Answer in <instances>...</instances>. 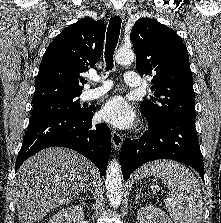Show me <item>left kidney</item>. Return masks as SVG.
I'll return each mask as SVG.
<instances>
[{"instance_id": "5707ae66", "label": "left kidney", "mask_w": 221, "mask_h": 223, "mask_svg": "<svg viewBox=\"0 0 221 223\" xmlns=\"http://www.w3.org/2000/svg\"><path fill=\"white\" fill-rule=\"evenodd\" d=\"M137 223H172V221L162 209L146 205L138 210Z\"/></svg>"}]
</instances>
